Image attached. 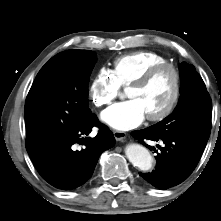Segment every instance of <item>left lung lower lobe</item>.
<instances>
[{
	"label": "left lung lower lobe",
	"instance_id": "1",
	"mask_svg": "<svg viewBox=\"0 0 221 221\" xmlns=\"http://www.w3.org/2000/svg\"><path fill=\"white\" fill-rule=\"evenodd\" d=\"M132 136L145 144V139L162 141L165 146L159 147L155 170L139 175L152 186L159 189H168L187 179L195 169L207 144L206 141L184 135H162L151 127L133 131ZM153 150L155 148L153 147Z\"/></svg>",
	"mask_w": 221,
	"mask_h": 221
}]
</instances>
